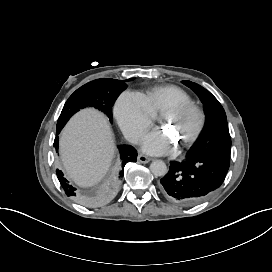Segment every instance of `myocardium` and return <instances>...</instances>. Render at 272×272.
<instances>
[{
    "mask_svg": "<svg viewBox=\"0 0 272 272\" xmlns=\"http://www.w3.org/2000/svg\"><path fill=\"white\" fill-rule=\"evenodd\" d=\"M165 112L175 113H187L193 116V121L188 128V132L184 137V143L191 142L194 137L198 134L203 124L204 115L203 112L195 105L191 103L175 102L171 103L165 110Z\"/></svg>",
    "mask_w": 272,
    "mask_h": 272,
    "instance_id": "f54148a6",
    "label": "myocardium"
}]
</instances>
